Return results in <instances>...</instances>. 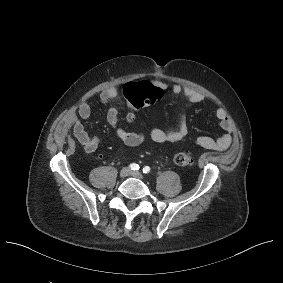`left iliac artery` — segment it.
<instances>
[{
  "mask_svg": "<svg viewBox=\"0 0 283 283\" xmlns=\"http://www.w3.org/2000/svg\"><path fill=\"white\" fill-rule=\"evenodd\" d=\"M149 172H150V167H149V166H145V167L143 168V173L147 174V173H149Z\"/></svg>",
  "mask_w": 283,
  "mask_h": 283,
  "instance_id": "obj_1",
  "label": "left iliac artery"
}]
</instances>
